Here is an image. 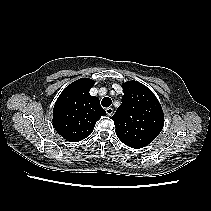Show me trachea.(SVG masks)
I'll list each match as a JSON object with an SVG mask.
<instances>
[{
  "instance_id": "trachea-1",
  "label": "trachea",
  "mask_w": 211,
  "mask_h": 211,
  "mask_svg": "<svg viewBox=\"0 0 211 211\" xmlns=\"http://www.w3.org/2000/svg\"><path fill=\"white\" fill-rule=\"evenodd\" d=\"M101 104L103 107H109L112 104V100L109 97H105L102 99Z\"/></svg>"
}]
</instances>
